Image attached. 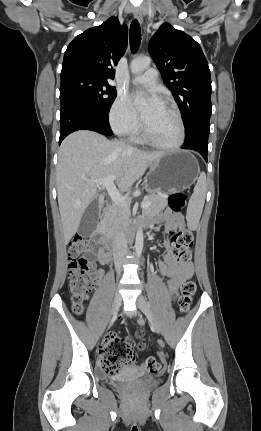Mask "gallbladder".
<instances>
[{"mask_svg": "<svg viewBox=\"0 0 261 431\" xmlns=\"http://www.w3.org/2000/svg\"><path fill=\"white\" fill-rule=\"evenodd\" d=\"M98 217L99 202L95 199L85 210L78 228V233L84 237L92 234L97 225Z\"/></svg>", "mask_w": 261, "mask_h": 431, "instance_id": "bac80fb5", "label": "gallbladder"}]
</instances>
